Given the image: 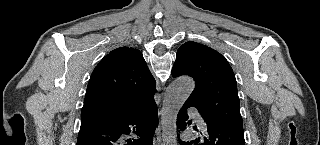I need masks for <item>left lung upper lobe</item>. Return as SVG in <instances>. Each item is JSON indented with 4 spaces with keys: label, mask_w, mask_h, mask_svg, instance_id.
<instances>
[{
    "label": "left lung upper lobe",
    "mask_w": 320,
    "mask_h": 145,
    "mask_svg": "<svg viewBox=\"0 0 320 145\" xmlns=\"http://www.w3.org/2000/svg\"><path fill=\"white\" fill-rule=\"evenodd\" d=\"M189 75L195 89L187 100L206 119L243 130L237 83L231 66L216 50L194 42L177 51L172 76Z\"/></svg>",
    "instance_id": "5c2ea615"
}]
</instances>
